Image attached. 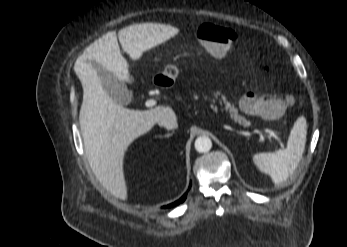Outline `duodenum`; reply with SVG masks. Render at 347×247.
I'll list each match as a JSON object with an SVG mask.
<instances>
[{
    "label": "duodenum",
    "mask_w": 347,
    "mask_h": 247,
    "mask_svg": "<svg viewBox=\"0 0 347 247\" xmlns=\"http://www.w3.org/2000/svg\"><path fill=\"white\" fill-rule=\"evenodd\" d=\"M154 84L157 86H161L162 85V79L160 77H155L154 78Z\"/></svg>",
    "instance_id": "duodenum-1"
}]
</instances>
